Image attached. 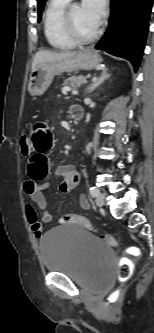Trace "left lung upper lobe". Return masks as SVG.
Masks as SVG:
<instances>
[{
    "instance_id": "1",
    "label": "left lung upper lobe",
    "mask_w": 154,
    "mask_h": 333,
    "mask_svg": "<svg viewBox=\"0 0 154 333\" xmlns=\"http://www.w3.org/2000/svg\"><path fill=\"white\" fill-rule=\"evenodd\" d=\"M47 0H37L38 2V21L41 20V16H42V10L44 8V5L46 3Z\"/></svg>"
}]
</instances>
